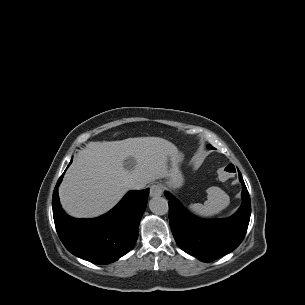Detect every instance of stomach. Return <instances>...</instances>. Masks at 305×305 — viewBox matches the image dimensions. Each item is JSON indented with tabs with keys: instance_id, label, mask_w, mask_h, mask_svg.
Returning <instances> with one entry per match:
<instances>
[{
	"instance_id": "stomach-1",
	"label": "stomach",
	"mask_w": 305,
	"mask_h": 305,
	"mask_svg": "<svg viewBox=\"0 0 305 305\" xmlns=\"http://www.w3.org/2000/svg\"><path fill=\"white\" fill-rule=\"evenodd\" d=\"M182 160L183 154L178 151L170 156V169L165 182V186L168 189L176 190L184 183V177L179 169V164L182 162Z\"/></svg>"
}]
</instances>
